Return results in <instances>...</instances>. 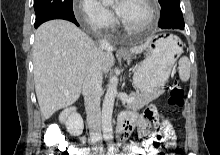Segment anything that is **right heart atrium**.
<instances>
[{"instance_id": "1", "label": "right heart atrium", "mask_w": 220, "mask_h": 155, "mask_svg": "<svg viewBox=\"0 0 220 155\" xmlns=\"http://www.w3.org/2000/svg\"><path fill=\"white\" fill-rule=\"evenodd\" d=\"M74 13L81 24L93 32H107L115 25L112 12L98 0H77Z\"/></svg>"}]
</instances>
